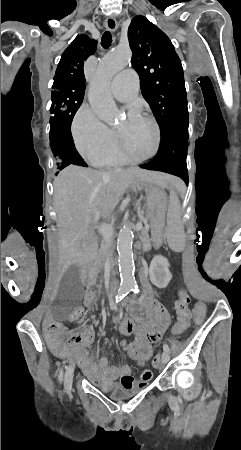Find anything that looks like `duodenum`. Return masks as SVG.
Here are the masks:
<instances>
[{"label": "duodenum", "instance_id": "duodenum-1", "mask_svg": "<svg viewBox=\"0 0 241 450\" xmlns=\"http://www.w3.org/2000/svg\"><path fill=\"white\" fill-rule=\"evenodd\" d=\"M82 281L85 284H91L92 283V276H91L90 271H88V270L83 271V273H82ZM117 288H118V280L117 279H113L107 285V292L108 293H113Z\"/></svg>", "mask_w": 241, "mask_h": 450}]
</instances>
